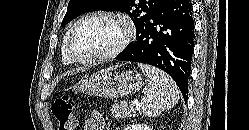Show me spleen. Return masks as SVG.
<instances>
[{"instance_id": "obj_1", "label": "spleen", "mask_w": 249, "mask_h": 130, "mask_svg": "<svg viewBox=\"0 0 249 130\" xmlns=\"http://www.w3.org/2000/svg\"><path fill=\"white\" fill-rule=\"evenodd\" d=\"M149 84L141 100V109L149 117H155L177 104L179 90L174 80L162 70L139 63Z\"/></svg>"}]
</instances>
